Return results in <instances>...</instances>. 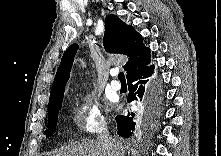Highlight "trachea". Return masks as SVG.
<instances>
[{
  "instance_id": "obj_1",
  "label": "trachea",
  "mask_w": 221,
  "mask_h": 156,
  "mask_svg": "<svg viewBox=\"0 0 221 156\" xmlns=\"http://www.w3.org/2000/svg\"><path fill=\"white\" fill-rule=\"evenodd\" d=\"M118 79H119L120 81H125V75H124L123 72H120V73L118 74Z\"/></svg>"
}]
</instances>
